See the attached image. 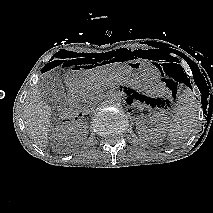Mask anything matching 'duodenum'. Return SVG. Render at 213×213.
<instances>
[{
  "label": "duodenum",
  "mask_w": 213,
  "mask_h": 213,
  "mask_svg": "<svg viewBox=\"0 0 213 213\" xmlns=\"http://www.w3.org/2000/svg\"><path fill=\"white\" fill-rule=\"evenodd\" d=\"M82 114H83V111H78V112H76V113L74 114L75 119L80 118V117L82 116Z\"/></svg>",
  "instance_id": "410a0bca"
}]
</instances>
